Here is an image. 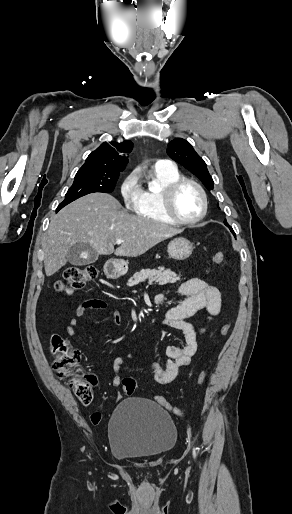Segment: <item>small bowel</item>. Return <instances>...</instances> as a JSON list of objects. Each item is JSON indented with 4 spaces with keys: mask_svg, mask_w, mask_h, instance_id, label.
I'll use <instances>...</instances> for the list:
<instances>
[{
    "mask_svg": "<svg viewBox=\"0 0 292 514\" xmlns=\"http://www.w3.org/2000/svg\"><path fill=\"white\" fill-rule=\"evenodd\" d=\"M179 294L185 296L180 303L170 306L165 311L163 325L174 330L181 331L185 336V344H171L166 346L165 354L167 360L165 365L158 362H151L149 368L152 372L154 381L159 385H168L174 382L179 370L189 366L191 358L195 355L198 348V337L202 335L208 323L214 320L221 312L222 300L220 291L213 285L199 278H190L183 281L177 288ZM107 309V302L101 298L84 300L79 304L75 311V316L70 320L65 328V334L74 337L77 334V326L80 319L91 311H104ZM200 309L207 311L206 323L196 328L186 319ZM121 320L119 313L115 314L114 321L118 324ZM124 359L117 357L113 362L115 376L112 384L120 386V370ZM114 396L118 401H123L124 397L120 391H116Z\"/></svg>",
    "mask_w": 292,
    "mask_h": 514,
    "instance_id": "c3829d8e",
    "label": "small bowel"
}]
</instances>
